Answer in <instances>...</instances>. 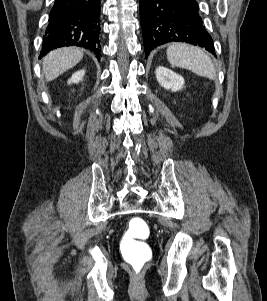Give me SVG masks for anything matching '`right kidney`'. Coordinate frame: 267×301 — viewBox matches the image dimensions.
<instances>
[{
    "instance_id": "1",
    "label": "right kidney",
    "mask_w": 267,
    "mask_h": 301,
    "mask_svg": "<svg viewBox=\"0 0 267 301\" xmlns=\"http://www.w3.org/2000/svg\"><path fill=\"white\" fill-rule=\"evenodd\" d=\"M85 75V70H79L77 72H75L72 77L68 80V84L71 83H79V81H81L83 79Z\"/></svg>"
}]
</instances>
